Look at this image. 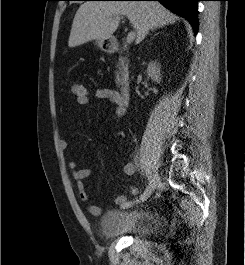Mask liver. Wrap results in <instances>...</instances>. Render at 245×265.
<instances>
[{
	"label": "liver",
	"mask_w": 245,
	"mask_h": 265,
	"mask_svg": "<svg viewBox=\"0 0 245 265\" xmlns=\"http://www.w3.org/2000/svg\"><path fill=\"white\" fill-rule=\"evenodd\" d=\"M125 15L136 30L139 44L149 30L174 24L178 17L158 2L87 1L77 10L69 36V47L91 40H107Z\"/></svg>",
	"instance_id": "6515ba94"
}]
</instances>
